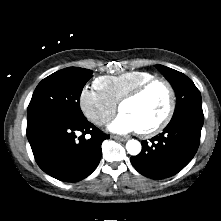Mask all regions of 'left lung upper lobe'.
I'll return each mask as SVG.
<instances>
[{
    "label": "left lung upper lobe",
    "instance_id": "obj_1",
    "mask_svg": "<svg viewBox=\"0 0 221 221\" xmlns=\"http://www.w3.org/2000/svg\"><path fill=\"white\" fill-rule=\"evenodd\" d=\"M160 72L171 83L176 93L177 103L174 111L176 116L187 110H202L200 91L185 74L163 65H156Z\"/></svg>",
    "mask_w": 221,
    "mask_h": 221
}]
</instances>
